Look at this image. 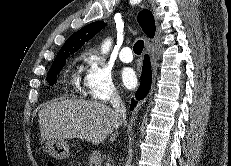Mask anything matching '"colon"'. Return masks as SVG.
Returning a JSON list of instances; mask_svg holds the SVG:
<instances>
[{
    "label": "colon",
    "instance_id": "1",
    "mask_svg": "<svg viewBox=\"0 0 231 166\" xmlns=\"http://www.w3.org/2000/svg\"><path fill=\"white\" fill-rule=\"evenodd\" d=\"M48 166H54V164L52 162H49Z\"/></svg>",
    "mask_w": 231,
    "mask_h": 166
}]
</instances>
